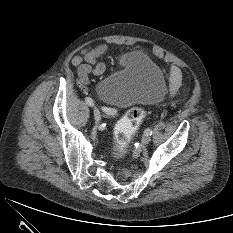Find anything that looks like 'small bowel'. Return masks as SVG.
I'll use <instances>...</instances> for the list:
<instances>
[{
    "label": "small bowel",
    "mask_w": 233,
    "mask_h": 233,
    "mask_svg": "<svg viewBox=\"0 0 233 233\" xmlns=\"http://www.w3.org/2000/svg\"><path fill=\"white\" fill-rule=\"evenodd\" d=\"M107 45L99 44L95 47L85 48L72 58V64L77 67L79 81L82 84L89 82L90 75L100 76L106 70L105 63L100 57L106 52ZM182 82L181 71L178 67L172 66L169 72V90L174 94Z\"/></svg>",
    "instance_id": "1"
}]
</instances>
